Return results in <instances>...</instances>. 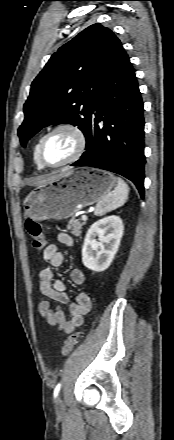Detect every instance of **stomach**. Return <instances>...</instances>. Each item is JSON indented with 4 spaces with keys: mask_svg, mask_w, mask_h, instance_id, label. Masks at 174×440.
Returning <instances> with one entry per match:
<instances>
[{
    "mask_svg": "<svg viewBox=\"0 0 174 440\" xmlns=\"http://www.w3.org/2000/svg\"><path fill=\"white\" fill-rule=\"evenodd\" d=\"M109 172L81 167L39 185L23 201L26 216L34 220H63L107 195L116 185Z\"/></svg>",
    "mask_w": 174,
    "mask_h": 440,
    "instance_id": "0dacf381",
    "label": "stomach"
}]
</instances>
